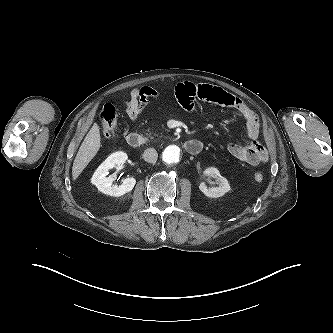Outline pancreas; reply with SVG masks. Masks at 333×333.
<instances>
[{
	"label": "pancreas",
	"instance_id": "pancreas-1",
	"mask_svg": "<svg viewBox=\"0 0 333 333\" xmlns=\"http://www.w3.org/2000/svg\"><path fill=\"white\" fill-rule=\"evenodd\" d=\"M147 135L149 136L150 139H153V137H152V133H151V132H150V133H147Z\"/></svg>",
	"mask_w": 333,
	"mask_h": 333
}]
</instances>
